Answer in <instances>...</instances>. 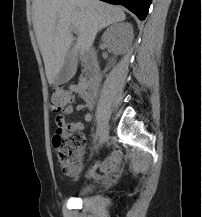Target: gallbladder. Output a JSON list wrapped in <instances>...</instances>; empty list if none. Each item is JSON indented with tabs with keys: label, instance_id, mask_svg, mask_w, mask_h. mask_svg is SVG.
Returning a JSON list of instances; mask_svg holds the SVG:
<instances>
[{
	"label": "gallbladder",
	"instance_id": "obj_1",
	"mask_svg": "<svg viewBox=\"0 0 202 217\" xmlns=\"http://www.w3.org/2000/svg\"><path fill=\"white\" fill-rule=\"evenodd\" d=\"M77 70V60L74 51L72 50L65 59V63L59 73L57 74L54 82L52 83L54 87L70 81Z\"/></svg>",
	"mask_w": 202,
	"mask_h": 217
}]
</instances>
